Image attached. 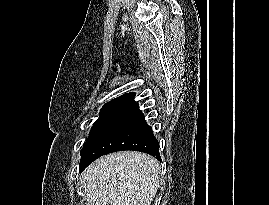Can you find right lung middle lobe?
Wrapping results in <instances>:
<instances>
[{"label": "right lung middle lobe", "instance_id": "dd1d6c3e", "mask_svg": "<svg viewBox=\"0 0 269 205\" xmlns=\"http://www.w3.org/2000/svg\"><path fill=\"white\" fill-rule=\"evenodd\" d=\"M126 109L122 107H110V106H103V108L100 111V117L97 119V121L94 123L89 137L87 138L86 142L83 145L82 151L85 149V147L94 139V137L110 122L112 121L116 116L124 112Z\"/></svg>", "mask_w": 269, "mask_h": 205}]
</instances>
